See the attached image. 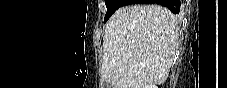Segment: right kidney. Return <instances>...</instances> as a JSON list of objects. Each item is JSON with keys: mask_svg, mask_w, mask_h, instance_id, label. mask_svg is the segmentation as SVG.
<instances>
[{"mask_svg": "<svg viewBox=\"0 0 227 88\" xmlns=\"http://www.w3.org/2000/svg\"><path fill=\"white\" fill-rule=\"evenodd\" d=\"M144 88H158L156 85H146V86H144Z\"/></svg>", "mask_w": 227, "mask_h": 88, "instance_id": "right-kidney-1", "label": "right kidney"}]
</instances>
